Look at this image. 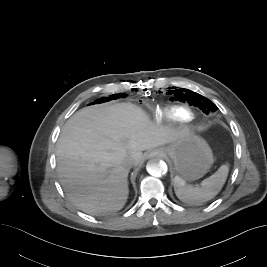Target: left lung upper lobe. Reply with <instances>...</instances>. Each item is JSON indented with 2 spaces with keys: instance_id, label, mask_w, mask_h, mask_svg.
I'll return each instance as SVG.
<instances>
[{
  "instance_id": "left-lung-upper-lobe-1",
  "label": "left lung upper lobe",
  "mask_w": 267,
  "mask_h": 267,
  "mask_svg": "<svg viewBox=\"0 0 267 267\" xmlns=\"http://www.w3.org/2000/svg\"><path fill=\"white\" fill-rule=\"evenodd\" d=\"M162 98L165 102L174 106H188L196 108L197 106L205 113L215 112L217 107L209 99L195 93L189 89L167 86L162 91Z\"/></svg>"
}]
</instances>
